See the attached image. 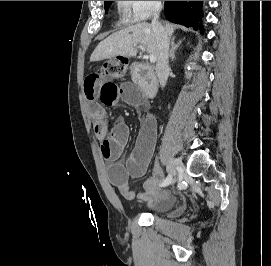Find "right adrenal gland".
Here are the masks:
<instances>
[{
	"instance_id": "2a0ac1e0",
	"label": "right adrenal gland",
	"mask_w": 271,
	"mask_h": 266,
	"mask_svg": "<svg viewBox=\"0 0 271 266\" xmlns=\"http://www.w3.org/2000/svg\"><path fill=\"white\" fill-rule=\"evenodd\" d=\"M181 42H182V40L179 41L177 44H175V37L171 38V49H170V59H171V61L174 60V58H175V51L179 47V45L181 44Z\"/></svg>"
}]
</instances>
